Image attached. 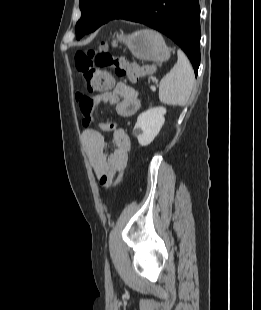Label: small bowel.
<instances>
[{"label": "small bowel", "instance_id": "1", "mask_svg": "<svg viewBox=\"0 0 261 310\" xmlns=\"http://www.w3.org/2000/svg\"><path fill=\"white\" fill-rule=\"evenodd\" d=\"M77 102L83 116L84 126L93 123V110L96 105H115L118 114L123 117L133 116L141 106L138 89L124 82H117L110 91L96 96L78 94ZM98 127L99 130L85 129L82 139L97 178L102 185H109L114 181L117 173L125 169L131 143L127 133L117 128L114 123H100ZM104 133H111L109 141L116 145L114 153L108 154L105 151L108 140Z\"/></svg>", "mask_w": 261, "mask_h": 310}]
</instances>
